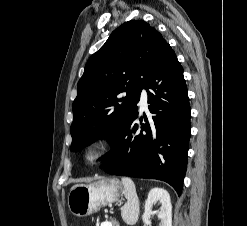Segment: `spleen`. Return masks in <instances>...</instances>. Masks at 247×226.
<instances>
[{
	"mask_svg": "<svg viewBox=\"0 0 247 226\" xmlns=\"http://www.w3.org/2000/svg\"><path fill=\"white\" fill-rule=\"evenodd\" d=\"M124 196L127 203L122 207L121 214L125 222L132 224L136 221L139 210V200L134 182L127 177L122 178Z\"/></svg>",
	"mask_w": 247,
	"mask_h": 226,
	"instance_id": "spleen-1",
	"label": "spleen"
}]
</instances>
